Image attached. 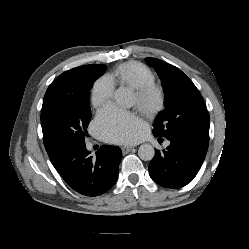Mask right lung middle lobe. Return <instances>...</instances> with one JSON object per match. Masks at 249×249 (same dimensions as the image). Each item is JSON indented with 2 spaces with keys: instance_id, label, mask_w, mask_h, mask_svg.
Segmentation results:
<instances>
[{
  "instance_id": "right-lung-middle-lobe-1",
  "label": "right lung middle lobe",
  "mask_w": 249,
  "mask_h": 249,
  "mask_svg": "<svg viewBox=\"0 0 249 249\" xmlns=\"http://www.w3.org/2000/svg\"><path fill=\"white\" fill-rule=\"evenodd\" d=\"M107 69L105 65L80 66L72 78L54 88L51 101L42 106L41 125L46 151L85 142L91 119L90 90Z\"/></svg>"
}]
</instances>
